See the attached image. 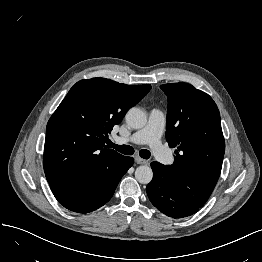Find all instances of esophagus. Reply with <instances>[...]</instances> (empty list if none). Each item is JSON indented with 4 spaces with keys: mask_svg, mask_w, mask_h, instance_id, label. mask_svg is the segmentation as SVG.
Masks as SVG:
<instances>
[{
    "mask_svg": "<svg viewBox=\"0 0 262 262\" xmlns=\"http://www.w3.org/2000/svg\"><path fill=\"white\" fill-rule=\"evenodd\" d=\"M135 162L137 163V164H148V161L147 160H145V159H142L141 157H138V156H136L135 157Z\"/></svg>",
    "mask_w": 262,
    "mask_h": 262,
    "instance_id": "34e87169",
    "label": "esophagus"
}]
</instances>
